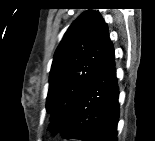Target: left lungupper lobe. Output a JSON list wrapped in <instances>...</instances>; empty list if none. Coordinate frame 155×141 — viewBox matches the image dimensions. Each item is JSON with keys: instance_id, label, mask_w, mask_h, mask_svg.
Returning <instances> with one entry per match:
<instances>
[{"instance_id": "1", "label": "left lung upper lobe", "mask_w": 155, "mask_h": 141, "mask_svg": "<svg viewBox=\"0 0 155 141\" xmlns=\"http://www.w3.org/2000/svg\"><path fill=\"white\" fill-rule=\"evenodd\" d=\"M110 42L103 17L91 10L82 13L64 34L53 58L46 102L54 133L67 122Z\"/></svg>"}]
</instances>
